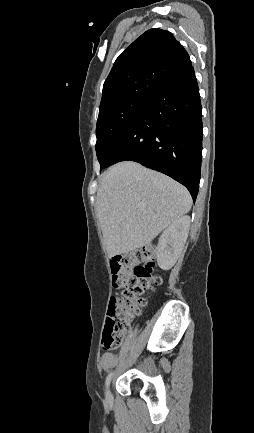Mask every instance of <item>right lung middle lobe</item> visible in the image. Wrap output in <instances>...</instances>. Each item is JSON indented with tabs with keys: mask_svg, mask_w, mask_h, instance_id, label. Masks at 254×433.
<instances>
[{
	"mask_svg": "<svg viewBox=\"0 0 254 433\" xmlns=\"http://www.w3.org/2000/svg\"><path fill=\"white\" fill-rule=\"evenodd\" d=\"M148 101L149 99L132 98L99 109L96 154L101 169L105 168L118 140Z\"/></svg>",
	"mask_w": 254,
	"mask_h": 433,
	"instance_id": "1",
	"label": "right lung middle lobe"
}]
</instances>
